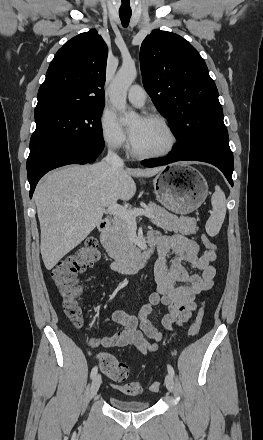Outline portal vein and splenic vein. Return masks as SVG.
Here are the masks:
<instances>
[{"label": "portal vein and splenic vein", "instance_id": "obj_1", "mask_svg": "<svg viewBox=\"0 0 263 440\" xmlns=\"http://www.w3.org/2000/svg\"><path fill=\"white\" fill-rule=\"evenodd\" d=\"M107 211H109L111 214L117 217H121L125 219L130 224L131 227H136L135 218L138 215H144L151 219L155 217L151 211L143 210V209H139L137 211H130L117 203L109 205L107 207Z\"/></svg>", "mask_w": 263, "mask_h": 440}]
</instances>
